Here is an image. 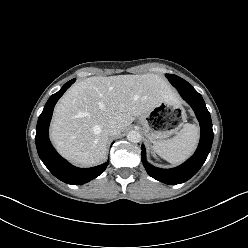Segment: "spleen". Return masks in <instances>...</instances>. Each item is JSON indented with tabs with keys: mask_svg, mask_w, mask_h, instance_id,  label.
I'll use <instances>...</instances> for the list:
<instances>
[{
	"mask_svg": "<svg viewBox=\"0 0 248 248\" xmlns=\"http://www.w3.org/2000/svg\"><path fill=\"white\" fill-rule=\"evenodd\" d=\"M198 140V127L194 124L186 123L176 136L155 142L153 149L166 161L172 164H179L194 152Z\"/></svg>",
	"mask_w": 248,
	"mask_h": 248,
	"instance_id": "spleen-1",
	"label": "spleen"
}]
</instances>
